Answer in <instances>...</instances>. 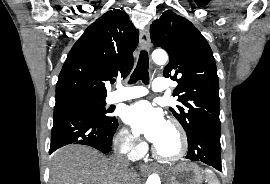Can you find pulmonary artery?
Masks as SVG:
<instances>
[{
  "label": "pulmonary artery",
  "mask_w": 270,
  "mask_h": 184,
  "mask_svg": "<svg viewBox=\"0 0 270 184\" xmlns=\"http://www.w3.org/2000/svg\"><path fill=\"white\" fill-rule=\"evenodd\" d=\"M168 88V82L165 78H156L152 83L154 92H164ZM148 93L147 89L142 86L120 87L117 91L109 95L110 103L131 100L142 97Z\"/></svg>",
  "instance_id": "obj_1"
}]
</instances>
